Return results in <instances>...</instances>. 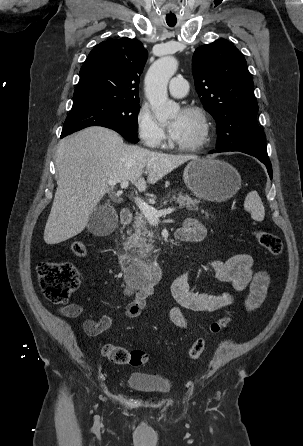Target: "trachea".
I'll return each mask as SVG.
<instances>
[{
	"instance_id": "obj_1",
	"label": "trachea",
	"mask_w": 303,
	"mask_h": 446,
	"mask_svg": "<svg viewBox=\"0 0 303 446\" xmlns=\"http://www.w3.org/2000/svg\"><path fill=\"white\" fill-rule=\"evenodd\" d=\"M169 26L172 27V26H174V25L169 24Z\"/></svg>"
}]
</instances>
